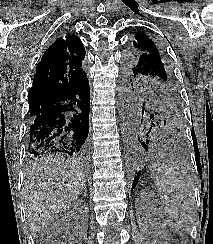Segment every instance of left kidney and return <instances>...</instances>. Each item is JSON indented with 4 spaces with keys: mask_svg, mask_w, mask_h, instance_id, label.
I'll return each instance as SVG.
<instances>
[{
    "mask_svg": "<svg viewBox=\"0 0 213 244\" xmlns=\"http://www.w3.org/2000/svg\"><path fill=\"white\" fill-rule=\"evenodd\" d=\"M156 205V201L149 191L140 192L137 199L139 227L143 233L153 235L151 244H169L167 229L157 216Z\"/></svg>",
    "mask_w": 213,
    "mask_h": 244,
    "instance_id": "left-kidney-1",
    "label": "left kidney"
}]
</instances>
